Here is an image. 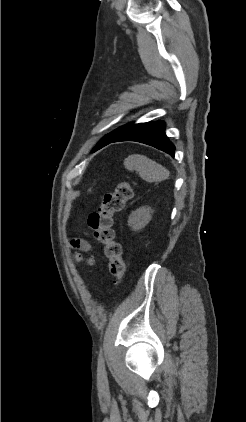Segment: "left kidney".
Segmentation results:
<instances>
[{"mask_svg": "<svg viewBox=\"0 0 246 422\" xmlns=\"http://www.w3.org/2000/svg\"><path fill=\"white\" fill-rule=\"evenodd\" d=\"M152 213L153 210L148 206L136 209L128 218V226L134 231H139L150 222Z\"/></svg>", "mask_w": 246, "mask_h": 422, "instance_id": "5707ae66", "label": "left kidney"}]
</instances>
